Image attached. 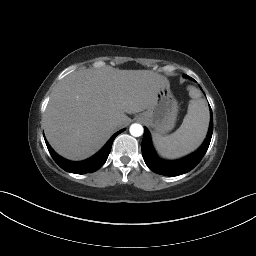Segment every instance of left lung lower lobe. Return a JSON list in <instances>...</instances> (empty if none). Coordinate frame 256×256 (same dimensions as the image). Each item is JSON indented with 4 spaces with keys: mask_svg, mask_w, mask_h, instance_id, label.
Returning <instances> with one entry per match:
<instances>
[{
    "mask_svg": "<svg viewBox=\"0 0 256 256\" xmlns=\"http://www.w3.org/2000/svg\"><path fill=\"white\" fill-rule=\"evenodd\" d=\"M187 78H191L187 76ZM192 79V78H191ZM213 133V116L211 111L210 125L207 137L202 144V146L194 153L189 156L176 160V161H166L160 159L152 146L150 133L147 128H144V136L142 140V155L146 165L150 170L157 174L166 176H178L192 170L205 155Z\"/></svg>",
    "mask_w": 256,
    "mask_h": 256,
    "instance_id": "0a47b994",
    "label": "left lung lower lobe"
}]
</instances>
